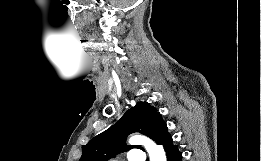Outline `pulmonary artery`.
Returning <instances> with one entry per match:
<instances>
[{"label":"pulmonary artery","mask_w":261,"mask_h":161,"mask_svg":"<svg viewBox=\"0 0 261 161\" xmlns=\"http://www.w3.org/2000/svg\"><path fill=\"white\" fill-rule=\"evenodd\" d=\"M111 161H118V160L114 159V160H111ZM131 161H144V157L141 154H139L136 157L132 158Z\"/></svg>","instance_id":"pulmonary-artery-1"}]
</instances>
